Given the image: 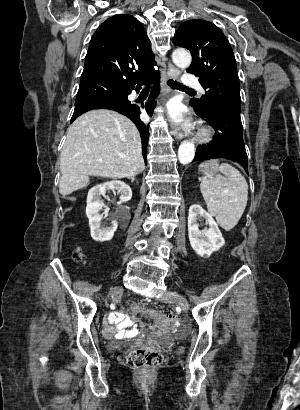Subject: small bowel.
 Returning <instances> with one entry per match:
<instances>
[{"label":"small bowel","instance_id":"obj_1","mask_svg":"<svg viewBox=\"0 0 300 410\" xmlns=\"http://www.w3.org/2000/svg\"><path fill=\"white\" fill-rule=\"evenodd\" d=\"M159 328H166V325H160ZM137 332L135 322L122 312L114 311L107 316V322L104 326V334L107 337H129Z\"/></svg>","mask_w":300,"mask_h":410}]
</instances>
